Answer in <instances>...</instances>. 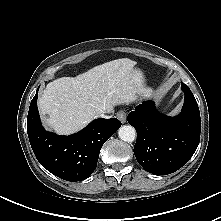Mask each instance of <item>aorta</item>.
Returning <instances> with one entry per match:
<instances>
[{"instance_id":"762f6f07","label":"aorta","mask_w":221,"mask_h":221,"mask_svg":"<svg viewBox=\"0 0 221 221\" xmlns=\"http://www.w3.org/2000/svg\"><path fill=\"white\" fill-rule=\"evenodd\" d=\"M118 136L125 142H133L136 138V130L130 125H123L118 130Z\"/></svg>"}]
</instances>
